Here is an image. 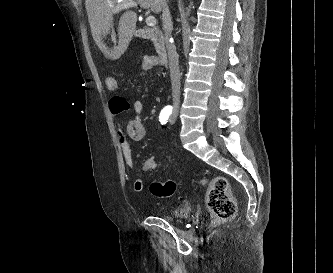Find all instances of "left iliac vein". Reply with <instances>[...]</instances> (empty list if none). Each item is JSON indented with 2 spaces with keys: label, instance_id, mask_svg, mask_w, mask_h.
<instances>
[{
  "label": "left iliac vein",
  "instance_id": "4c4485c4",
  "mask_svg": "<svg viewBox=\"0 0 333 273\" xmlns=\"http://www.w3.org/2000/svg\"><path fill=\"white\" fill-rule=\"evenodd\" d=\"M176 121V114H173L170 118V124H174Z\"/></svg>",
  "mask_w": 333,
  "mask_h": 273
}]
</instances>
